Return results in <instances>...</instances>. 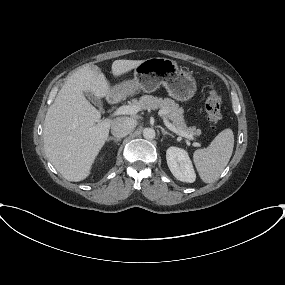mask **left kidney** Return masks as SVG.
Listing matches in <instances>:
<instances>
[{
    "mask_svg": "<svg viewBox=\"0 0 285 285\" xmlns=\"http://www.w3.org/2000/svg\"><path fill=\"white\" fill-rule=\"evenodd\" d=\"M166 160L171 173L182 182L193 183L196 174L188 153L181 148L170 147L166 151Z\"/></svg>",
    "mask_w": 285,
    "mask_h": 285,
    "instance_id": "left-kidney-1",
    "label": "left kidney"
}]
</instances>
